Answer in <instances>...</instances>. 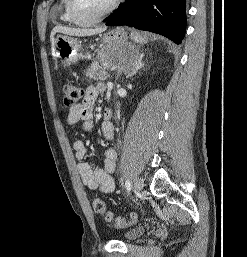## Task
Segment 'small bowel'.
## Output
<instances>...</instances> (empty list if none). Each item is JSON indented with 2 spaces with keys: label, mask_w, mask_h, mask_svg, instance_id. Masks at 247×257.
I'll list each match as a JSON object with an SVG mask.
<instances>
[{
  "label": "small bowel",
  "mask_w": 247,
  "mask_h": 257,
  "mask_svg": "<svg viewBox=\"0 0 247 257\" xmlns=\"http://www.w3.org/2000/svg\"><path fill=\"white\" fill-rule=\"evenodd\" d=\"M106 89L105 84L89 86L84 92L81 103L69 109L66 122L68 125L80 124L84 131L93 129L92 111L97 100L98 94ZM111 112L105 110V119L101 123V133L104 139L112 140L115 135V128L109 120ZM75 157L79 161L77 164L78 172L81 176L83 184L92 190H99L102 193H112L115 190V183L111 174L115 170L117 153L114 149L108 148L105 151L103 168L93 170L91 165L84 159L87 156L88 149L82 140H76L73 143Z\"/></svg>",
  "instance_id": "obj_1"
}]
</instances>
